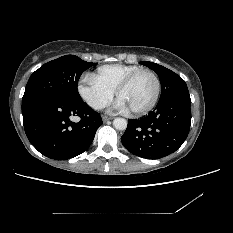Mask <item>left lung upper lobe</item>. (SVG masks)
<instances>
[{
    "label": "left lung upper lobe",
    "instance_id": "1",
    "mask_svg": "<svg viewBox=\"0 0 233 233\" xmlns=\"http://www.w3.org/2000/svg\"><path fill=\"white\" fill-rule=\"evenodd\" d=\"M141 63L154 70L160 78L162 90L159 103L181 93H188L185 81L173 71L153 62Z\"/></svg>",
    "mask_w": 233,
    "mask_h": 233
}]
</instances>
